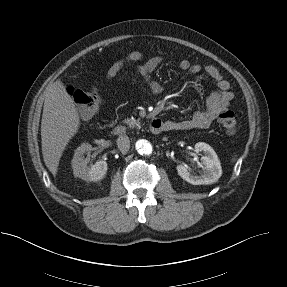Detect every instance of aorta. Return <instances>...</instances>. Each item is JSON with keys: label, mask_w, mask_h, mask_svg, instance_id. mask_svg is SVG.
Here are the masks:
<instances>
[{"label": "aorta", "mask_w": 287, "mask_h": 287, "mask_svg": "<svg viewBox=\"0 0 287 287\" xmlns=\"http://www.w3.org/2000/svg\"><path fill=\"white\" fill-rule=\"evenodd\" d=\"M135 148L140 155H150L153 151L151 143L146 139L137 140Z\"/></svg>", "instance_id": "obj_1"}]
</instances>
